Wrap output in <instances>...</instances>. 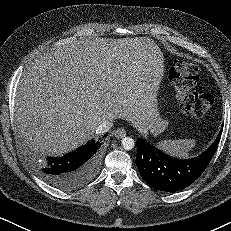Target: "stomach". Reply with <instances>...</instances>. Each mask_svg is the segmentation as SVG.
I'll return each instance as SVG.
<instances>
[{
  "instance_id": "obj_1",
  "label": "stomach",
  "mask_w": 231,
  "mask_h": 231,
  "mask_svg": "<svg viewBox=\"0 0 231 231\" xmlns=\"http://www.w3.org/2000/svg\"><path fill=\"white\" fill-rule=\"evenodd\" d=\"M167 124H168L167 120L160 112H158L157 117L154 118L151 122L150 131L155 135L160 134L165 130Z\"/></svg>"
}]
</instances>
